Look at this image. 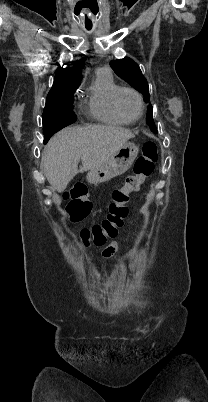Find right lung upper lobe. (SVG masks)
Returning <instances> with one entry per match:
<instances>
[{"mask_svg": "<svg viewBox=\"0 0 208 402\" xmlns=\"http://www.w3.org/2000/svg\"><path fill=\"white\" fill-rule=\"evenodd\" d=\"M82 79L80 67L74 65L71 68H59L56 72L54 83L48 96L55 93L76 89Z\"/></svg>", "mask_w": 208, "mask_h": 402, "instance_id": "obj_1", "label": "right lung upper lobe"}]
</instances>
